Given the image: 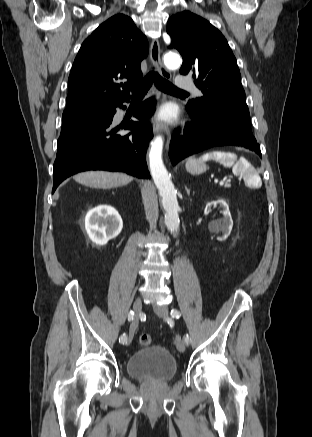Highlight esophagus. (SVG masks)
<instances>
[{
	"mask_svg": "<svg viewBox=\"0 0 312 437\" xmlns=\"http://www.w3.org/2000/svg\"><path fill=\"white\" fill-rule=\"evenodd\" d=\"M150 59L162 77H164L166 79H171L170 72L168 70H166L162 64V61L160 58V45H159L158 40H156V39L152 40L151 45H150ZM153 130L155 133L164 132L166 134V136H167L166 147H168L169 141H170V130H169L168 126L162 121H156L153 125Z\"/></svg>",
	"mask_w": 312,
	"mask_h": 437,
	"instance_id": "1",
	"label": "esophagus"
}]
</instances>
